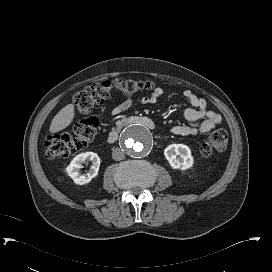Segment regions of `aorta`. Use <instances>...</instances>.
<instances>
[{"label":"aorta","instance_id":"obj_1","mask_svg":"<svg viewBox=\"0 0 272 272\" xmlns=\"http://www.w3.org/2000/svg\"><path fill=\"white\" fill-rule=\"evenodd\" d=\"M121 145L125 152L134 158L144 157L153 148L154 140L151 132L140 125H132L121 136Z\"/></svg>","mask_w":272,"mask_h":272}]
</instances>
